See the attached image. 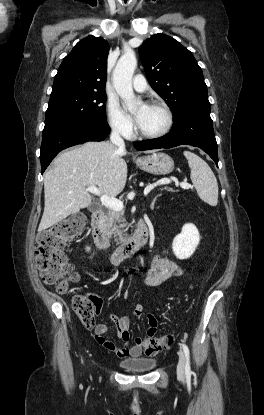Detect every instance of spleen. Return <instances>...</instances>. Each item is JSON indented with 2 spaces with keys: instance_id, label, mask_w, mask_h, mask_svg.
Wrapping results in <instances>:
<instances>
[{
  "instance_id": "obj_1",
  "label": "spleen",
  "mask_w": 264,
  "mask_h": 415,
  "mask_svg": "<svg viewBox=\"0 0 264 415\" xmlns=\"http://www.w3.org/2000/svg\"><path fill=\"white\" fill-rule=\"evenodd\" d=\"M191 169V181L198 196L207 204L216 206L218 203V183L209 165L191 151H184Z\"/></svg>"
}]
</instances>
